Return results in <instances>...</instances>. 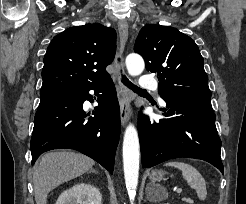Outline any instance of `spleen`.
<instances>
[{"label":"spleen","instance_id":"1","mask_svg":"<svg viewBox=\"0 0 246 204\" xmlns=\"http://www.w3.org/2000/svg\"><path fill=\"white\" fill-rule=\"evenodd\" d=\"M165 166H172L182 171L183 178L188 185L195 189L200 200H205L207 196L206 182L200 172L192 165L180 161H170Z\"/></svg>","mask_w":246,"mask_h":204}]
</instances>
